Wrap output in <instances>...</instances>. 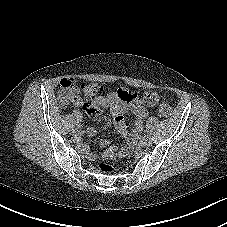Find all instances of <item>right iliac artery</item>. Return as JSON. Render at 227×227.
<instances>
[{
  "label": "right iliac artery",
  "instance_id": "obj_1",
  "mask_svg": "<svg viewBox=\"0 0 227 227\" xmlns=\"http://www.w3.org/2000/svg\"><path fill=\"white\" fill-rule=\"evenodd\" d=\"M73 128L79 129L80 128L79 123H73Z\"/></svg>",
  "mask_w": 227,
  "mask_h": 227
}]
</instances>
